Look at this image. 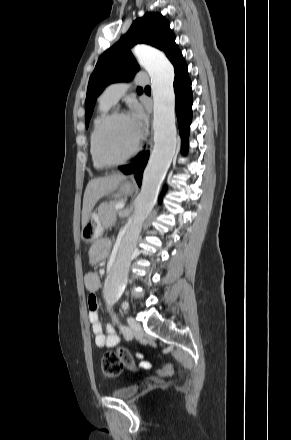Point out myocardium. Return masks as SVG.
Wrapping results in <instances>:
<instances>
[{
  "instance_id": "myocardium-1",
  "label": "myocardium",
  "mask_w": 291,
  "mask_h": 440,
  "mask_svg": "<svg viewBox=\"0 0 291 440\" xmlns=\"http://www.w3.org/2000/svg\"><path fill=\"white\" fill-rule=\"evenodd\" d=\"M120 117H127L125 113L114 110L108 113L98 124L94 137L95 155L97 159L106 166H118L129 161L139 150L141 145V136H138L134 147L130 152L121 159H111L106 157L101 150V137L105 127L114 119Z\"/></svg>"
}]
</instances>
